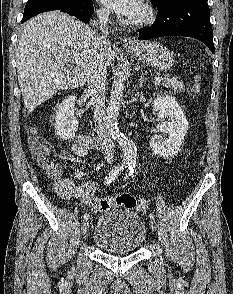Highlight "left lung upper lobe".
Instances as JSON below:
<instances>
[{
	"label": "left lung upper lobe",
	"mask_w": 233,
	"mask_h": 294,
	"mask_svg": "<svg viewBox=\"0 0 233 294\" xmlns=\"http://www.w3.org/2000/svg\"><path fill=\"white\" fill-rule=\"evenodd\" d=\"M152 4H157L158 2L160 1H163V0H150Z\"/></svg>",
	"instance_id": "obj_1"
}]
</instances>
